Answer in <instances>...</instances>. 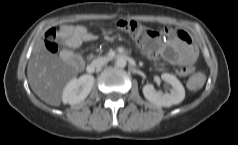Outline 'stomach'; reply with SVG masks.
I'll return each mask as SVG.
<instances>
[{
  "mask_svg": "<svg viewBox=\"0 0 238 145\" xmlns=\"http://www.w3.org/2000/svg\"><path fill=\"white\" fill-rule=\"evenodd\" d=\"M171 34L176 42L182 47L186 52H191L196 47V42L193 36L184 29L182 26L173 27Z\"/></svg>",
  "mask_w": 238,
  "mask_h": 145,
  "instance_id": "0dacf381",
  "label": "stomach"
}]
</instances>
